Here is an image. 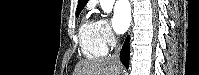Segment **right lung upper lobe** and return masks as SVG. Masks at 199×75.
<instances>
[{"mask_svg":"<svg viewBox=\"0 0 199 75\" xmlns=\"http://www.w3.org/2000/svg\"><path fill=\"white\" fill-rule=\"evenodd\" d=\"M88 0H78L77 14L82 11Z\"/></svg>","mask_w":199,"mask_h":75,"instance_id":"right-lung-upper-lobe-1","label":"right lung upper lobe"}]
</instances>
